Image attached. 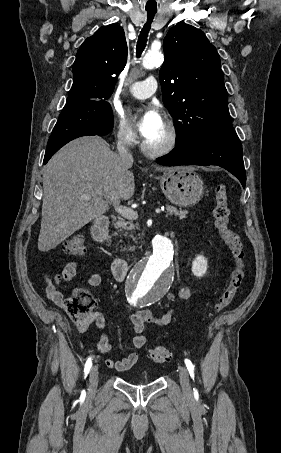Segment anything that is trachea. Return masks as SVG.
Returning <instances> with one entry per match:
<instances>
[{
	"label": "trachea",
	"instance_id": "trachea-1",
	"mask_svg": "<svg viewBox=\"0 0 281 453\" xmlns=\"http://www.w3.org/2000/svg\"><path fill=\"white\" fill-rule=\"evenodd\" d=\"M154 15H155V13L148 12L147 22L145 23L144 27L142 28L139 38H138V42H137V57H139L141 55V53L143 52V50L145 49L148 33L150 30V26H151L152 20L154 18Z\"/></svg>",
	"mask_w": 281,
	"mask_h": 453
}]
</instances>
